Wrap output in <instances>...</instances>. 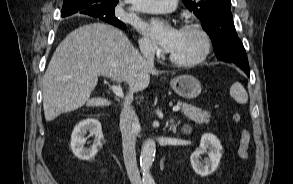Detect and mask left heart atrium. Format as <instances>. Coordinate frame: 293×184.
I'll list each match as a JSON object with an SVG mask.
<instances>
[{
    "instance_id": "obj_1",
    "label": "left heart atrium",
    "mask_w": 293,
    "mask_h": 184,
    "mask_svg": "<svg viewBox=\"0 0 293 184\" xmlns=\"http://www.w3.org/2000/svg\"><path fill=\"white\" fill-rule=\"evenodd\" d=\"M144 30L168 52L174 49L181 33V30L160 20L150 21Z\"/></svg>"
}]
</instances>
